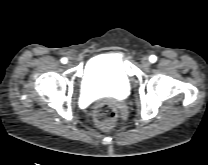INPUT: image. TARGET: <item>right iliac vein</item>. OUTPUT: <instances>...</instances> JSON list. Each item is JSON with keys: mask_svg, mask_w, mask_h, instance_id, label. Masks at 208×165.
I'll return each mask as SVG.
<instances>
[{"mask_svg": "<svg viewBox=\"0 0 208 165\" xmlns=\"http://www.w3.org/2000/svg\"><path fill=\"white\" fill-rule=\"evenodd\" d=\"M71 64V62H68V65H70Z\"/></svg>", "mask_w": 208, "mask_h": 165, "instance_id": "obj_1", "label": "right iliac vein"}]
</instances>
